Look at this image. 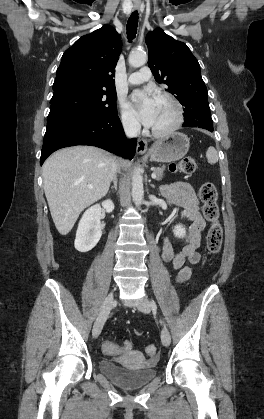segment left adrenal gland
Wrapping results in <instances>:
<instances>
[{"instance_id":"a2214340","label":"left adrenal gland","mask_w":264,"mask_h":419,"mask_svg":"<svg viewBox=\"0 0 264 419\" xmlns=\"http://www.w3.org/2000/svg\"><path fill=\"white\" fill-rule=\"evenodd\" d=\"M151 187L155 188L154 184H150Z\"/></svg>"}]
</instances>
